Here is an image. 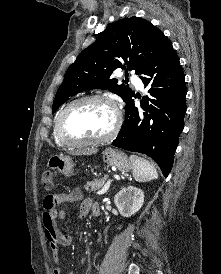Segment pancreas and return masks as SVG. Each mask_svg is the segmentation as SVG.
Listing matches in <instances>:
<instances>
[{"label": "pancreas", "mask_w": 221, "mask_h": 274, "mask_svg": "<svg viewBox=\"0 0 221 274\" xmlns=\"http://www.w3.org/2000/svg\"><path fill=\"white\" fill-rule=\"evenodd\" d=\"M107 177L94 179L93 181L87 182L86 185H84V189L91 192H96L97 190L102 189L106 185Z\"/></svg>", "instance_id": "obj_1"}]
</instances>
